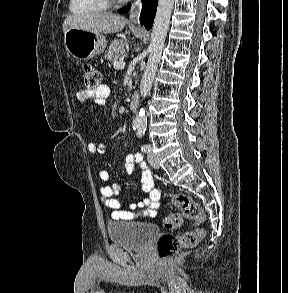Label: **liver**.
Instances as JSON below:
<instances>
[{
    "label": "liver",
    "mask_w": 288,
    "mask_h": 293,
    "mask_svg": "<svg viewBox=\"0 0 288 293\" xmlns=\"http://www.w3.org/2000/svg\"><path fill=\"white\" fill-rule=\"evenodd\" d=\"M126 25V19L109 12H92L69 15L63 23V32L76 27L95 33H117Z\"/></svg>",
    "instance_id": "1"
}]
</instances>
